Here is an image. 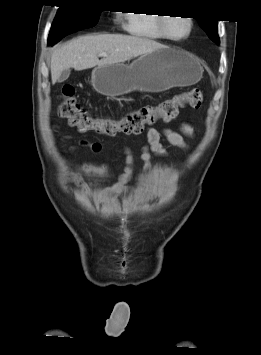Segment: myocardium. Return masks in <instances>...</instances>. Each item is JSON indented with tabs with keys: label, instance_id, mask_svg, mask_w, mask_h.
I'll return each instance as SVG.
<instances>
[{
	"label": "myocardium",
	"instance_id": "obj_1",
	"mask_svg": "<svg viewBox=\"0 0 261 355\" xmlns=\"http://www.w3.org/2000/svg\"><path fill=\"white\" fill-rule=\"evenodd\" d=\"M166 16V15H165ZM185 20H187L188 22V25H189V30H188V33L183 36V37H173L170 35L169 31H168V22L170 20V17H161L160 18V29L164 35V37L168 40H171V41H175V42H180V41H183V40H186L188 39L192 32H193V19H191V17H188V16H184L183 17Z\"/></svg>",
	"mask_w": 261,
	"mask_h": 355
}]
</instances>
